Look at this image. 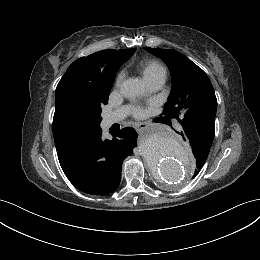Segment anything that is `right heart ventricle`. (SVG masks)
I'll return each mask as SVG.
<instances>
[{"instance_id": "obj_1", "label": "right heart ventricle", "mask_w": 260, "mask_h": 260, "mask_svg": "<svg viewBox=\"0 0 260 260\" xmlns=\"http://www.w3.org/2000/svg\"><path fill=\"white\" fill-rule=\"evenodd\" d=\"M141 71L144 79L148 82L157 77H165L163 66L156 60H146L141 65Z\"/></svg>"}]
</instances>
